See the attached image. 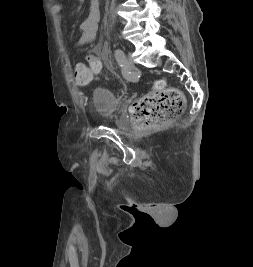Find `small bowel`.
I'll return each mask as SVG.
<instances>
[{
  "mask_svg": "<svg viewBox=\"0 0 253 267\" xmlns=\"http://www.w3.org/2000/svg\"><path fill=\"white\" fill-rule=\"evenodd\" d=\"M51 10L53 15L56 17L59 25H61L62 5L59 3H53ZM99 19H100V2L99 0H91L88 16L80 24L81 35L76 43V46L85 45L94 39L97 32Z\"/></svg>",
  "mask_w": 253,
  "mask_h": 267,
  "instance_id": "c3829d8e",
  "label": "small bowel"
}]
</instances>
